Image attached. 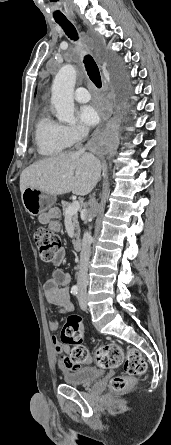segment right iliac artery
<instances>
[{
    "instance_id": "right-iliac-artery-1",
    "label": "right iliac artery",
    "mask_w": 171,
    "mask_h": 445,
    "mask_svg": "<svg viewBox=\"0 0 171 445\" xmlns=\"http://www.w3.org/2000/svg\"><path fill=\"white\" fill-rule=\"evenodd\" d=\"M71 293L73 295H77L78 294V287L76 285L72 286Z\"/></svg>"
}]
</instances>
